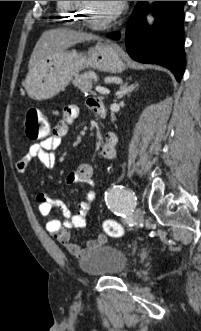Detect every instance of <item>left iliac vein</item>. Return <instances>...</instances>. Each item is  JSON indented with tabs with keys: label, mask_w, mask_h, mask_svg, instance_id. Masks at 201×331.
I'll list each match as a JSON object with an SVG mask.
<instances>
[{
	"label": "left iliac vein",
	"mask_w": 201,
	"mask_h": 331,
	"mask_svg": "<svg viewBox=\"0 0 201 331\" xmlns=\"http://www.w3.org/2000/svg\"><path fill=\"white\" fill-rule=\"evenodd\" d=\"M133 220H134V223H135V229H137L142 224V222L144 220L143 212H142V209L140 207H138L134 211Z\"/></svg>",
	"instance_id": "4c4485c4"
}]
</instances>
